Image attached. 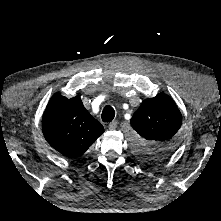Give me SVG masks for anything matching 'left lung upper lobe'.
Instances as JSON below:
<instances>
[{
    "mask_svg": "<svg viewBox=\"0 0 221 221\" xmlns=\"http://www.w3.org/2000/svg\"><path fill=\"white\" fill-rule=\"evenodd\" d=\"M136 131L135 151L149 163L167 160L176 147L175 134L182 116L174 101L165 93L144 100L130 120Z\"/></svg>",
    "mask_w": 221,
    "mask_h": 221,
    "instance_id": "1",
    "label": "left lung upper lobe"
}]
</instances>
